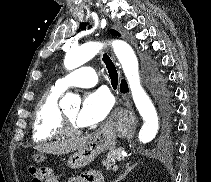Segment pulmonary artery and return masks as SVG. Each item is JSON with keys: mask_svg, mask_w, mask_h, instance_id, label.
Listing matches in <instances>:
<instances>
[{"mask_svg": "<svg viewBox=\"0 0 211 182\" xmlns=\"http://www.w3.org/2000/svg\"><path fill=\"white\" fill-rule=\"evenodd\" d=\"M98 82V74L91 67H79L69 74L58 79L56 86L62 91L76 86V87H91Z\"/></svg>", "mask_w": 211, "mask_h": 182, "instance_id": "pulmonary-artery-1", "label": "pulmonary artery"}]
</instances>
